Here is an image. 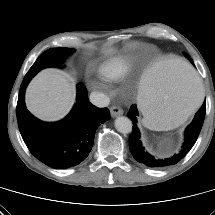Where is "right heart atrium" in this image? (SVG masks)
I'll use <instances>...</instances> for the list:
<instances>
[{
  "label": "right heart atrium",
  "instance_id": "1",
  "mask_svg": "<svg viewBox=\"0 0 215 215\" xmlns=\"http://www.w3.org/2000/svg\"><path fill=\"white\" fill-rule=\"evenodd\" d=\"M93 85L96 87H102V83L99 81H93Z\"/></svg>",
  "mask_w": 215,
  "mask_h": 215
}]
</instances>
